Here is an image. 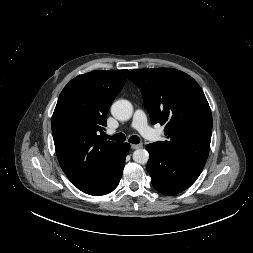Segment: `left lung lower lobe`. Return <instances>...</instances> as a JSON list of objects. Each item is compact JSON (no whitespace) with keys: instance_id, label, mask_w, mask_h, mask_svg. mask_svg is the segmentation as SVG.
<instances>
[{"instance_id":"0a47b994","label":"left lung lower lobe","mask_w":253,"mask_h":253,"mask_svg":"<svg viewBox=\"0 0 253 253\" xmlns=\"http://www.w3.org/2000/svg\"><path fill=\"white\" fill-rule=\"evenodd\" d=\"M149 152L147 170L153 187L165 195H175L189 188L203 168L172 157L157 143L146 145Z\"/></svg>"}]
</instances>
